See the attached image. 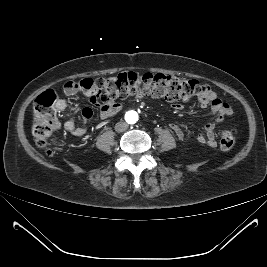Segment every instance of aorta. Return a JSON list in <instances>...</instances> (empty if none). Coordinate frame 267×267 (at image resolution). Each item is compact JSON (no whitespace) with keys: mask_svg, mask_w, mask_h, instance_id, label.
Segmentation results:
<instances>
[{"mask_svg":"<svg viewBox=\"0 0 267 267\" xmlns=\"http://www.w3.org/2000/svg\"><path fill=\"white\" fill-rule=\"evenodd\" d=\"M126 119L128 120V122H130L131 124L135 123L138 120V114L135 111H129L126 114Z\"/></svg>","mask_w":267,"mask_h":267,"instance_id":"762f6f07","label":"aorta"}]
</instances>
